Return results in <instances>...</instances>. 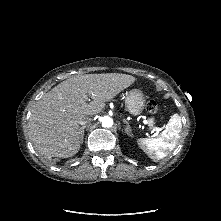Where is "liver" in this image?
I'll use <instances>...</instances> for the list:
<instances>
[{"label": "liver", "instance_id": "liver-1", "mask_svg": "<svg viewBox=\"0 0 221 221\" xmlns=\"http://www.w3.org/2000/svg\"><path fill=\"white\" fill-rule=\"evenodd\" d=\"M121 73L73 76L44 94L29 123L33 144L48 157L67 158L80 149L79 120L100 113L105 103L135 82ZM88 97L93 100L87 103Z\"/></svg>", "mask_w": 221, "mask_h": 221}]
</instances>
